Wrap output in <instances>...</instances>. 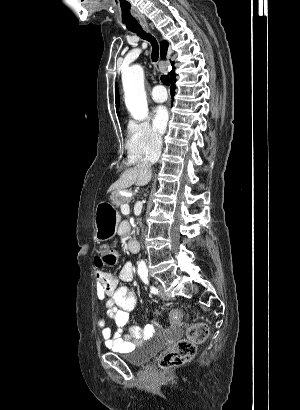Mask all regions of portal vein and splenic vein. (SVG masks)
<instances>
[{
    "instance_id": "obj_1",
    "label": "portal vein and splenic vein",
    "mask_w": 300,
    "mask_h": 410,
    "mask_svg": "<svg viewBox=\"0 0 300 410\" xmlns=\"http://www.w3.org/2000/svg\"><path fill=\"white\" fill-rule=\"evenodd\" d=\"M121 211L128 214V213L130 212L129 205H128V204L122 205V206H121Z\"/></svg>"
}]
</instances>
